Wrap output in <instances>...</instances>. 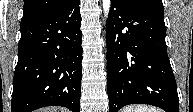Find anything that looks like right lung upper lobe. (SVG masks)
Instances as JSON below:
<instances>
[{
    "label": "right lung upper lobe",
    "mask_w": 193,
    "mask_h": 112,
    "mask_svg": "<svg viewBox=\"0 0 193 112\" xmlns=\"http://www.w3.org/2000/svg\"><path fill=\"white\" fill-rule=\"evenodd\" d=\"M71 0H24L20 27L40 20L59 10Z\"/></svg>",
    "instance_id": "right-lung-upper-lobe-1"
}]
</instances>
